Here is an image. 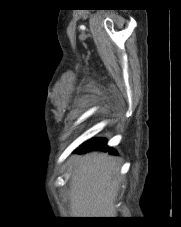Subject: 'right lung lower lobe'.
Wrapping results in <instances>:
<instances>
[{"label":"right lung lower lobe","instance_id":"1","mask_svg":"<svg viewBox=\"0 0 181 227\" xmlns=\"http://www.w3.org/2000/svg\"><path fill=\"white\" fill-rule=\"evenodd\" d=\"M109 149L110 152H113L111 148H108L105 144V140H92L82 144L78 149L77 152H87L91 150H105Z\"/></svg>","mask_w":181,"mask_h":227}]
</instances>
